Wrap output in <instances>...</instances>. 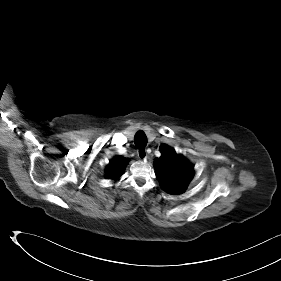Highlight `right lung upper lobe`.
Instances as JSON below:
<instances>
[{"mask_svg": "<svg viewBox=\"0 0 281 281\" xmlns=\"http://www.w3.org/2000/svg\"><path fill=\"white\" fill-rule=\"evenodd\" d=\"M129 159L117 156L106 167V175L109 179H118L124 172Z\"/></svg>", "mask_w": 281, "mask_h": 281, "instance_id": "cb5924a9", "label": "right lung upper lobe"}]
</instances>
